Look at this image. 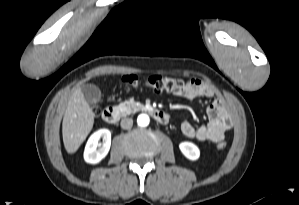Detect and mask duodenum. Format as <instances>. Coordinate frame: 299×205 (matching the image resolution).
<instances>
[{
	"label": "duodenum",
	"mask_w": 299,
	"mask_h": 205,
	"mask_svg": "<svg viewBox=\"0 0 299 205\" xmlns=\"http://www.w3.org/2000/svg\"><path fill=\"white\" fill-rule=\"evenodd\" d=\"M145 110L159 123L166 124L169 121V116L162 110L155 108H145ZM122 116V111L118 107H106L103 110L102 117L103 119L110 124L117 123Z\"/></svg>",
	"instance_id": "1"
}]
</instances>
